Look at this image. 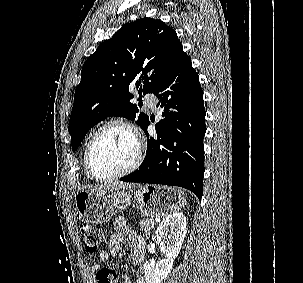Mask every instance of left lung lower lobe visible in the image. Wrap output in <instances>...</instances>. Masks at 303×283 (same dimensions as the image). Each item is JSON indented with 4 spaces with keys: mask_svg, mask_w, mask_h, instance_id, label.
Wrapping results in <instances>:
<instances>
[{
    "mask_svg": "<svg viewBox=\"0 0 303 283\" xmlns=\"http://www.w3.org/2000/svg\"><path fill=\"white\" fill-rule=\"evenodd\" d=\"M160 99L162 117L155 138L147 141V153L139 169L121 178L180 186L201 199L203 192L206 132L203 91L190 57L182 52L152 92ZM149 119L142 128L148 136Z\"/></svg>",
    "mask_w": 303,
    "mask_h": 283,
    "instance_id": "1",
    "label": "left lung lower lobe"
}]
</instances>
